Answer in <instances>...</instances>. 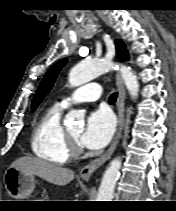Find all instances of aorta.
I'll list each match as a JSON object with an SVG mask.
<instances>
[{"label": "aorta", "instance_id": "1", "mask_svg": "<svg viewBox=\"0 0 176 211\" xmlns=\"http://www.w3.org/2000/svg\"><path fill=\"white\" fill-rule=\"evenodd\" d=\"M115 67L114 63L105 59L98 61H82L70 70L68 80L71 86H80L112 69H115ZM119 70L129 94L133 99L137 98L139 84L136 76L131 71V68L120 66ZM66 120L72 123L76 122L78 124H83L84 114L77 110H71L67 114ZM121 163L119 157L110 162L109 167L103 174L98 190L97 201H112L116 182L120 175Z\"/></svg>", "mask_w": 176, "mask_h": 211}]
</instances>
